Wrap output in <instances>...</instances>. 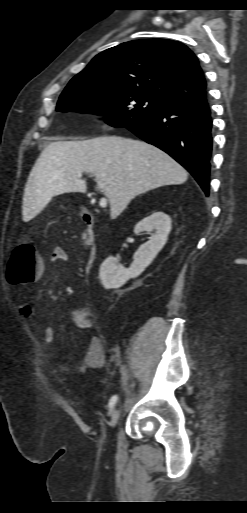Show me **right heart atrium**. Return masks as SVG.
<instances>
[{
  "mask_svg": "<svg viewBox=\"0 0 247 513\" xmlns=\"http://www.w3.org/2000/svg\"><path fill=\"white\" fill-rule=\"evenodd\" d=\"M119 110H120V105H119V103H118V102H113V104H112V106H111V108H110V110H109V118H108V121H109L111 118L115 117V116L117 115V113L119 112Z\"/></svg>",
  "mask_w": 247,
  "mask_h": 513,
  "instance_id": "d8ad5b80",
  "label": "right heart atrium"
}]
</instances>
